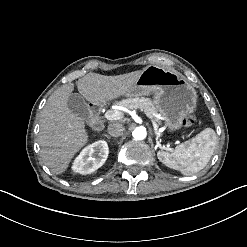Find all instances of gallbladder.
<instances>
[{"mask_svg": "<svg viewBox=\"0 0 247 247\" xmlns=\"http://www.w3.org/2000/svg\"><path fill=\"white\" fill-rule=\"evenodd\" d=\"M68 108L81 118H87L89 116L88 106L84 98L78 93H72L68 97Z\"/></svg>", "mask_w": 247, "mask_h": 247, "instance_id": "obj_1", "label": "gallbladder"}]
</instances>
